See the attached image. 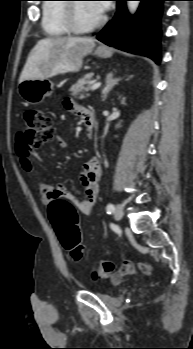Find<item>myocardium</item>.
Returning a JSON list of instances; mask_svg holds the SVG:
<instances>
[{"label": "myocardium", "instance_id": "myocardium-1", "mask_svg": "<svg viewBox=\"0 0 193 349\" xmlns=\"http://www.w3.org/2000/svg\"><path fill=\"white\" fill-rule=\"evenodd\" d=\"M77 5L78 2H71L65 5L64 21L70 32L74 34H84L93 31L103 25V23L105 22V16L103 15H101L97 20L89 25H80L77 19Z\"/></svg>", "mask_w": 193, "mask_h": 349}]
</instances>
